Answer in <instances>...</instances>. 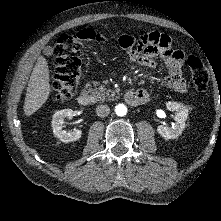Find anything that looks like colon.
I'll return each mask as SVG.
<instances>
[{
  "label": "colon",
  "instance_id": "colon-1",
  "mask_svg": "<svg viewBox=\"0 0 221 221\" xmlns=\"http://www.w3.org/2000/svg\"><path fill=\"white\" fill-rule=\"evenodd\" d=\"M103 40L102 35L91 28H84L75 34L60 35L54 49L55 77L52 81V90L59 100H68L77 89L82 72V49ZM188 64L194 87L200 92L206 91L209 74L203 62L196 56H190Z\"/></svg>",
  "mask_w": 221,
  "mask_h": 221
}]
</instances>
